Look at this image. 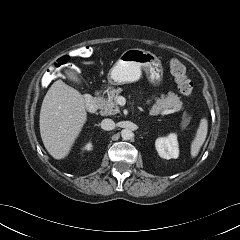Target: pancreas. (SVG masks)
Instances as JSON below:
<instances>
[{
    "instance_id": "pancreas-1",
    "label": "pancreas",
    "mask_w": 240,
    "mask_h": 240,
    "mask_svg": "<svg viewBox=\"0 0 240 240\" xmlns=\"http://www.w3.org/2000/svg\"><path fill=\"white\" fill-rule=\"evenodd\" d=\"M121 91V89H114L110 91L107 98L100 100V114L102 116L115 115L120 112L116 99ZM171 109H174L175 111L183 109V102L180 100V97L173 92H169L167 96L158 99L150 108L149 114L154 116ZM189 119L190 117H188L187 113L184 112L183 120L186 122Z\"/></svg>"
}]
</instances>
